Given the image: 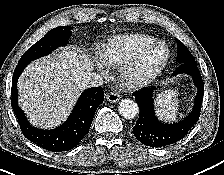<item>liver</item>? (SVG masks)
<instances>
[{
  "mask_svg": "<svg viewBox=\"0 0 224 175\" xmlns=\"http://www.w3.org/2000/svg\"><path fill=\"white\" fill-rule=\"evenodd\" d=\"M93 62L74 47L62 48L27 66L18 79L19 106L38 128L51 129L67 119L91 73Z\"/></svg>",
  "mask_w": 224,
  "mask_h": 175,
  "instance_id": "obj_1",
  "label": "liver"
}]
</instances>
